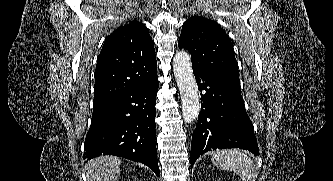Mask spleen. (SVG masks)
I'll return each instance as SVG.
<instances>
[{"label": "spleen", "instance_id": "3e777b00", "mask_svg": "<svg viewBox=\"0 0 333 181\" xmlns=\"http://www.w3.org/2000/svg\"><path fill=\"white\" fill-rule=\"evenodd\" d=\"M212 162L225 170L237 173L243 181H254L255 166L251 158L238 149H225L213 153Z\"/></svg>", "mask_w": 333, "mask_h": 181}]
</instances>
